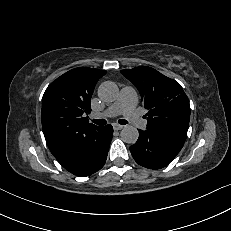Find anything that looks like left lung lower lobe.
I'll list each match as a JSON object with an SVG mask.
<instances>
[{"mask_svg": "<svg viewBox=\"0 0 231 231\" xmlns=\"http://www.w3.org/2000/svg\"><path fill=\"white\" fill-rule=\"evenodd\" d=\"M186 137L147 127L139 130L137 142L130 147L134 160L149 169L165 167L182 149Z\"/></svg>", "mask_w": 231, "mask_h": 231, "instance_id": "obj_1", "label": "left lung lower lobe"}]
</instances>
